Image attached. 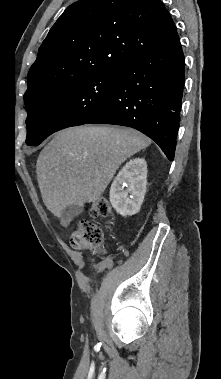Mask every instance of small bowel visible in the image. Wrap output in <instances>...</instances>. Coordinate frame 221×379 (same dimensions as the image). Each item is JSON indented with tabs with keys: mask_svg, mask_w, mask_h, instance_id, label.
I'll use <instances>...</instances> for the list:
<instances>
[{
	"mask_svg": "<svg viewBox=\"0 0 221 379\" xmlns=\"http://www.w3.org/2000/svg\"><path fill=\"white\" fill-rule=\"evenodd\" d=\"M112 266V260L111 259H105L102 261L99 265V269H104V268H110Z\"/></svg>",
	"mask_w": 221,
	"mask_h": 379,
	"instance_id": "c3829d8e",
	"label": "small bowel"
}]
</instances>
